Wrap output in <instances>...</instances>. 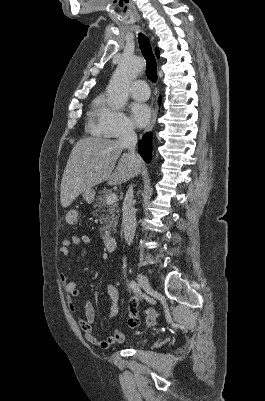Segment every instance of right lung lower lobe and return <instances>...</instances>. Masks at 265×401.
Listing matches in <instances>:
<instances>
[{"instance_id": "right-lung-lower-lobe-1", "label": "right lung lower lobe", "mask_w": 265, "mask_h": 401, "mask_svg": "<svg viewBox=\"0 0 265 401\" xmlns=\"http://www.w3.org/2000/svg\"><path fill=\"white\" fill-rule=\"evenodd\" d=\"M151 140L152 134L148 132L144 135L138 146L139 153L146 162H149L151 160Z\"/></svg>"}]
</instances>
